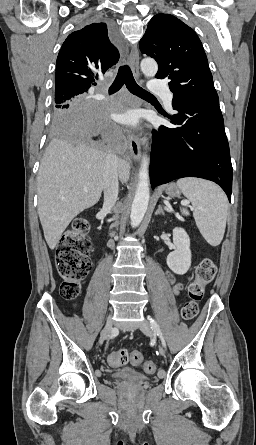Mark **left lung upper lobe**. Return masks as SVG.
I'll return each mask as SVG.
<instances>
[{
	"mask_svg": "<svg viewBox=\"0 0 256 445\" xmlns=\"http://www.w3.org/2000/svg\"><path fill=\"white\" fill-rule=\"evenodd\" d=\"M140 50L159 66L156 77L170 80L174 98L219 105L206 54L197 34L169 14H157L140 41Z\"/></svg>",
	"mask_w": 256,
	"mask_h": 445,
	"instance_id": "left-lung-upper-lobe-1",
	"label": "left lung upper lobe"
}]
</instances>
